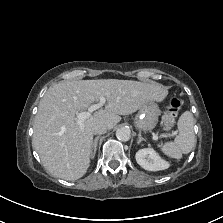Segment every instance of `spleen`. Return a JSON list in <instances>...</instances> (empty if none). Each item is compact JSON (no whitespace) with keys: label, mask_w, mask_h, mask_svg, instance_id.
I'll use <instances>...</instances> for the list:
<instances>
[{"label":"spleen","mask_w":223,"mask_h":223,"mask_svg":"<svg viewBox=\"0 0 223 223\" xmlns=\"http://www.w3.org/2000/svg\"><path fill=\"white\" fill-rule=\"evenodd\" d=\"M178 136L174 141L166 142L161 151L168 157L181 159L182 154H188L196 146L194 134V118L190 111H185L177 122Z\"/></svg>","instance_id":"1"}]
</instances>
